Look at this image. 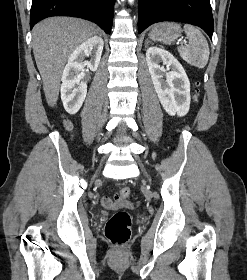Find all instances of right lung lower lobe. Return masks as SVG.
<instances>
[{"label":"right lung lower lobe","mask_w":247,"mask_h":280,"mask_svg":"<svg viewBox=\"0 0 247 280\" xmlns=\"http://www.w3.org/2000/svg\"><path fill=\"white\" fill-rule=\"evenodd\" d=\"M115 0H32L30 28L50 16H73L97 23L110 34Z\"/></svg>","instance_id":"obj_1"}]
</instances>
